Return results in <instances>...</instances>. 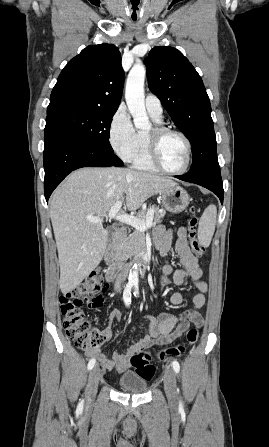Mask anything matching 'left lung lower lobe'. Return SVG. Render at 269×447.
Here are the masks:
<instances>
[{
    "label": "left lung lower lobe",
    "mask_w": 269,
    "mask_h": 447,
    "mask_svg": "<svg viewBox=\"0 0 269 447\" xmlns=\"http://www.w3.org/2000/svg\"><path fill=\"white\" fill-rule=\"evenodd\" d=\"M176 178L187 182L196 183L211 190L219 197L221 203H223L224 190L222 185L221 174L208 175L200 178H190L187 175H184V176H176Z\"/></svg>",
    "instance_id": "obj_1"
}]
</instances>
